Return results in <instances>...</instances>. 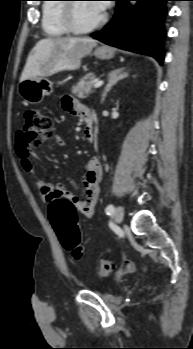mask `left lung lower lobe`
Here are the masks:
<instances>
[{"mask_svg": "<svg viewBox=\"0 0 193 349\" xmlns=\"http://www.w3.org/2000/svg\"><path fill=\"white\" fill-rule=\"evenodd\" d=\"M112 21L91 36L99 41L124 50L140 52L163 63V20L165 3L169 0H115ZM129 1H137L135 7Z\"/></svg>", "mask_w": 193, "mask_h": 349, "instance_id": "left-lung-lower-lobe-1", "label": "left lung lower lobe"}]
</instances>
